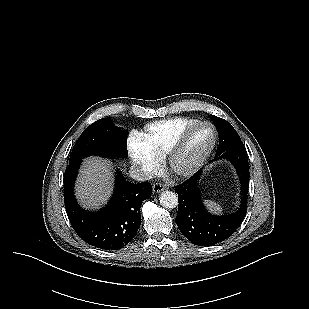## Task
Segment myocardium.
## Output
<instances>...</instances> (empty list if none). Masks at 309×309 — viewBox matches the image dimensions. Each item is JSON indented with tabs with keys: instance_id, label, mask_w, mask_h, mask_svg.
I'll return each mask as SVG.
<instances>
[{
	"instance_id": "1",
	"label": "myocardium",
	"mask_w": 309,
	"mask_h": 309,
	"mask_svg": "<svg viewBox=\"0 0 309 309\" xmlns=\"http://www.w3.org/2000/svg\"><path fill=\"white\" fill-rule=\"evenodd\" d=\"M200 126H207L212 131V140L208 148L201 153L193 161L182 165L179 164V159L185 152L191 136L195 129ZM217 142V131L215 127L208 121H197L190 125L180 136V138L173 144L167 155L165 156V165L168 171L175 177L183 178L194 174L208 159L213 152Z\"/></svg>"
}]
</instances>
